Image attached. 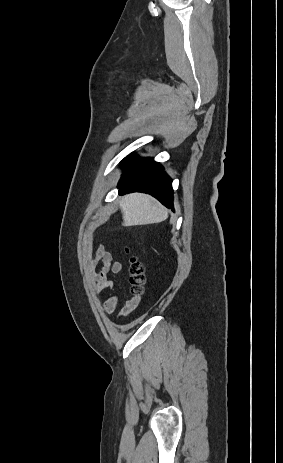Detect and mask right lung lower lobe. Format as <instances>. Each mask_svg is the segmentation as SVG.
Returning <instances> with one entry per match:
<instances>
[{
    "label": "right lung lower lobe",
    "instance_id": "obj_1",
    "mask_svg": "<svg viewBox=\"0 0 283 463\" xmlns=\"http://www.w3.org/2000/svg\"><path fill=\"white\" fill-rule=\"evenodd\" d=\"M122 164L124 173L118 185L120 194L148 193L166 207L173 208L172 180L159 163L151 158L138 159L132 154Z\"/></svg>",
    "mask_w": 283,
    "mask_h": 463
}]
</instances>
